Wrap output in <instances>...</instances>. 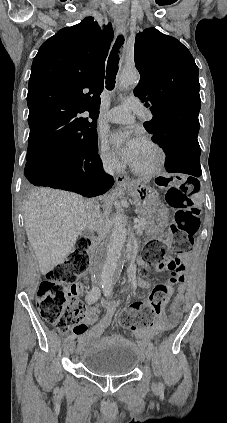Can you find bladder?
I'll list each match as a JSON object with an SVG mask.
<instances>
[{
    "label": "bladder",
    "instance_id": "1",
    "mask_svg": "<svg viewBox=\"0 0 227 423\" xmlns=\"http://www.w3.org/2000/svg\"><path fill=\"white\" fill-rule=\"evenodd\" d=\"M140 360L133 345L110 344L89 351L80 364L99 377H123L129 375Z\"/></svg>",
    "mask_w": 227,
    "mask_h": 423
}]
</instances>
